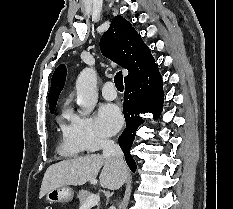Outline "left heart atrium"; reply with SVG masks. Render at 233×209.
Masks as SVG:
<instances>
[{"label":"left heart atrium","mask_w":233,"mask_h":209,"mask_svg":"<svg viewBox=\"0 0 233 209\" xmlns=\"http://www.w3.org/2000/svg\"><path fill=\"white\" fill-rule=\"evenodd\" d=\"M97 122L103 133L113 135L121 128L123 118L116 105L104 104L99 110Z\"/></svg>","instance_id":"1"}]
</instances>
